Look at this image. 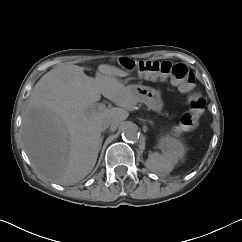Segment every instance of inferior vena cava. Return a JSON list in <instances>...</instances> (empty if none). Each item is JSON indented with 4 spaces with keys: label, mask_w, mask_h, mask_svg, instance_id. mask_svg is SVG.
I'll return each mask as SVG.
<instances>
[{
    "label": "inferior vena cava",
    "mask_w": 242,
    "mask_h": 242,
    "mask_svg": "<svg viewBox=\"0 0 242 242\" xmlns=\"http://www.w3.org/2000/svg\"><path fill=\"white\" fill-rule=\"evenodd\" d=\"M117 128V121L115 118L107 116L101 119L100 121V129L101 131L110 133L115 131Z\"/></svg>",
    "instance_id": "inferior-vena-cava-1"
}]
</instances>
